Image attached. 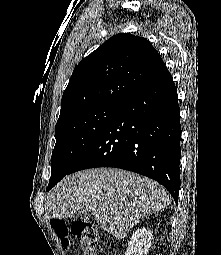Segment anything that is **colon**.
Returning a JSON list of instances; mask_svg holds the SVG:
<instances>
[{"label":"colon","mask_w":221,"mask_h":255,"mask_svg":"<svg viewBox=\"0 0 221 255\" xmlns=\"http://www.w3.org/2000/svg\"><path fill=\"white\" fill-rule=\"evenodd\" d=\"M51 225L65 249L71 248L72 234L80 241L82 255H105L100 246L99 228L94 221L76 218L68 225L62 218H53Z\"/></svg>","instance_id":"obj_1"}]
</instances>
